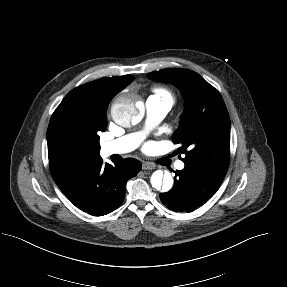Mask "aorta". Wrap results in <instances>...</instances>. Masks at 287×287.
I'll use <instances>...</instances> for the list:
<instances>
[{"label": "aorta", "instance_id": "obj_1", "mask_svg": "<svg viewBox=\"0 0 287 287\" xmlns=\"http://www.w3.org/2000/svg\"><path fill=\"white\" fill-rule=\"evenodd\" d=\"M143 106L136 95H127L120 98L111 108V115L115 123L121 126L136 124L142 118ZM173 177L169 172L155 171L150 183L158 191L168 192L173 186Z\"/></svg>", "mask_w": 287, "mask_h": 287}]
</instances>
